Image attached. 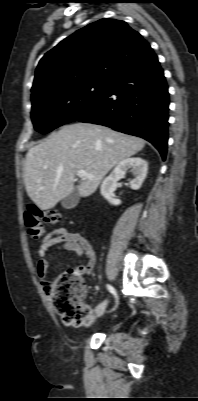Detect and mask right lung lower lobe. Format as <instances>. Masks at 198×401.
<instances>
[{"mask_svg":"<svg viewBox=\"0 0 198 401\" xmlns=\"http://www.w3.org/2000/svg\"><path fill=\"white\" fill-rule=\"evenodd\" d=\"M169 95L163 70L150 48L108 81L101 99L77 120L113 128L151 142L166 158Z\"/></svg>","mask_w":198,"mask_h":401,"instance_id":"obj_1","label":"right lung lower lobe"}]
</instances>
